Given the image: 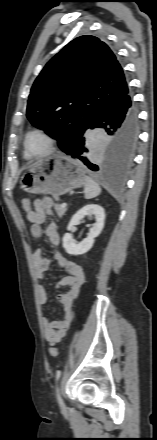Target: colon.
Masks as SVG:
<instances>
[{
    "instance_id": "1",
    "label": "colon",
    "mask_w": 157,
    "mask_h": 440,
    "mask_svg": "<svg viewBox=\"0 0 157 440\" xmlns=\"http://www.w3.org/2000/svg\"><path fill=\"white\" fill-rule=\"evenodd\" d=\"M22 208L24 209V211L26 212V213H29L30 211H31V205H30V201H29V199H27V198H24L23 200H22ZM49 353H50V355L52 356V357H56L57 355H58V353H59V350H58V348L57 347H51L50 349H49Z\"/></svg>"
}]
</instances>
